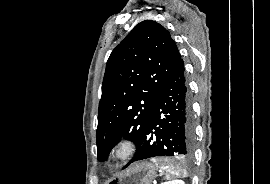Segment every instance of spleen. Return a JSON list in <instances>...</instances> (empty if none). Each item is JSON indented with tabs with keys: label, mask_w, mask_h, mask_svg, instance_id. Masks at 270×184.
<instances>
[{
	"label": "spleen",
	"mask_w": 270,
	"mask_h": 184,
	"mask_svg": "<svg viewBox=\"0 0 270 184\" xmlns=\"http://www.w3.org/2000/svg\"><path fill=\"white\" fill-rule=\"evenodd\" d=\"M160 169L164 173L165 178L167 180H171L179 176V171L169 163H164L163 165L160 166ZM166 183L167 182H163L161 184H166Z\"/></svg>",
	"instance_id": "3e777b00"
}]
</instances>
